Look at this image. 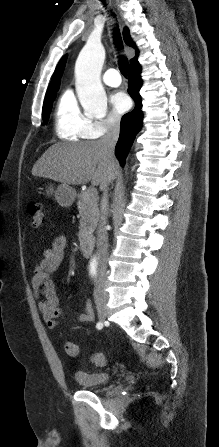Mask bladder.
Here are the masks:
<instances>
[{"instance_id": "obj_1", "label": "bladder", "mask_w": 219, "mask_h": 447, "mask_svg": "<svg viewBox=\"0 0 219 447\" xmlns=\"http://www.w3.org/2000/svg\"><path fill=\"white\" fill-rule=\"evenodd\" d=\"M72 377L82 389L89 390L106 385L110 381L111 375L106 372L74 370Z\"/></svg>"}]
</instances>
